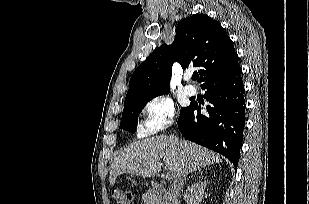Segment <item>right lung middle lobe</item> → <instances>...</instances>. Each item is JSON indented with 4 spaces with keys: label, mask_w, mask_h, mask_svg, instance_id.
Wrapping results in <instances>:
<instances>
[{
    "label": "right lung middle lobe",
    "mask_w": 309,
    "mask_h": 204,
    "mask_svg": "<svg viewBox=\"0 0 309 204\" xmlns=\"http://www.w3.org/2000/svg\"><path fill=\"white\" fill-rule=\"evenodd\" d=\"M154 97L156 96L125 101L120 128L127 130L128 132L134 133L137 127L139 113L142 111L146 103L151 99H153ZM186 109L187 107L181 109L178 122L183 116Z\"/></svg>",
    "instance_id": "1"
}]
</instances>
